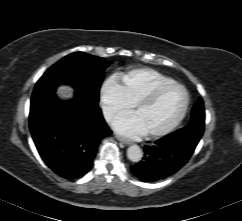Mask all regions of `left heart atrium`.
I'll list each match as a JSON object with an SVG mask.
<instances>
[{
	"mask_svg": "<svg viewBox=\"0 0 242 221\" xmlns=\"http://www.w3.org/2000/svg\"><path fill=\"white\" fill-rule=\"evenodd\" d=\"M112 126L118 134L129 138H138L146 134L142 122L135 113L117 118Z\"/></svg>",
	"mask_w": 242,
	"mask_h": 221,
	"instance_id": "left-heart-atrium-1",
	"label": "left heart atrium"
}]
</instances>
